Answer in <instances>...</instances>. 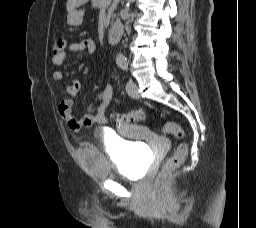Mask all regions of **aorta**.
Returning <instances> with one entry per match:
<instances>
[{"label":"aorta","mask_w":256,"mask_h":228,"mask_svg":"<svg viewBox=\"0 0 256 228\" xmlns=\"http://www.w3.org/2000/svg\"><path fill=\"white\" fill-rule=\"evenodd\" d=\"M134 0H128V2H133ZM116 63L117 65H123L126 63V58L123 54L119 53L116 57Z\"/></svg>","instance_id":"1"}]
</instances>
